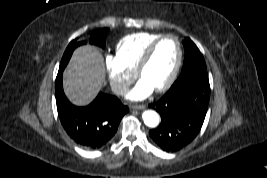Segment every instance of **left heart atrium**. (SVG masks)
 <instances>
[{
  "label": "left heart atrium",
  "mask_w": 267,
  "mask_h": 178,
  "mask_svg": "<svg viewBox=\"0 0 267 178\" xmlns=\"http://www.w3.org/2000/svg\"><path fill=\"white\" fill-rule=\"evenodd\" d=\"M153 87L145 80L140 79L135 87L127 94V98L133 101L144 100L152 94Z\"/></svg>",
  "instance_id": "obj_1"
}]
</instances>
